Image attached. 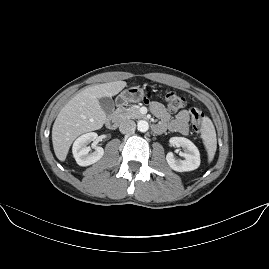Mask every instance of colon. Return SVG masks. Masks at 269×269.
Segmentation results:
<instances>
[{
    "mask_svg": "<svg viewBox=\"0 0 269 269\" xmlns=\"http://www.w3.org/2000/svg\"><path fill=\"white\" fill-rule=\"evenodd\" d=\"M164 101L167 108L172 112L179 111L185 104V98L175 92H167L165 94ZM203 118L204 114L200 109L192 108L190 110L191 126L195 129V131H200Z\"/></svg>",
    "mask_w": 269,
    "mask_h": 269,
    "instance_id": "obj_1",
    "label": "colon"
}]
</instances>
